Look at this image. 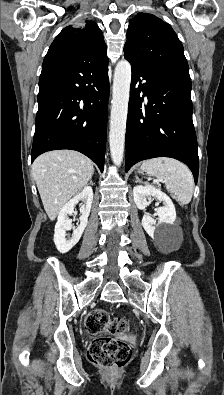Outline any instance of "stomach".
Returning <instances> with one entry per match:
<instances>
[{
	"label": "stomach",
	"mask_w": 224,
	"mask_h": 395,
	"mask_svg": "<svg viewBox=\"0 0 224 395\" xmlns=\"http://www.w3.org/2000/svg\"><path fill=\"white\" fill-rule=\"evenodd\" d=\"M139 173H142V170H139Z\"/></svg>",
	"instance_id": "1"
}]
</instances>
